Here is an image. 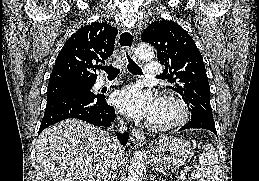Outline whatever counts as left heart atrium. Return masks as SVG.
I'll list each match as a JSON object with an SVG mask.
<instances>
[{
	"instance_id": "left-heart-atrium-1",
	"label": "left heart atrium",
	"mask_w": 259,
	"mask_h": 181,
	"mask_svg": "<svg viewBox=\"0 0 259 181\" xmlns=\"http://www.w3.org/2000/svg\"><path fill=\"white\" fill-rule=\"evenodd\" d=\"M112 103L121 113L129 117L150 121L159 106L153 94L143 90L139 85H130L114 92Z\"/></svg>"
}]
</instances>
